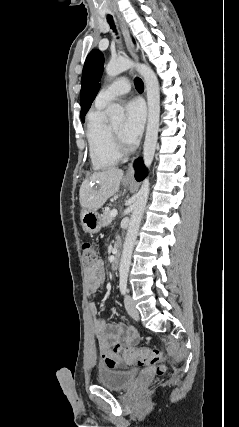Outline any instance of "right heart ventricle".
Here are the masks:
<instances>
[{"label": "right heart ventricle", "instance_id": "right-heart-ventricle-1", "mask_svg": "<svg viewBox=\"0 0 239 427\" xmlns=\"http://www.w3.org/2000/svg\"><path fill=\"white\" fill-rule=\"evenodd\" d=\"M104 108L95 104L87 116L86 137L91 163L96 170L112 167L120 159L113 143L111 127L105 120Z\"/></svg>", "mask_w": 239, "mask_h": 427}]
</instances>
